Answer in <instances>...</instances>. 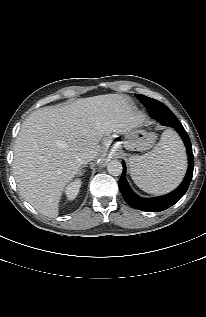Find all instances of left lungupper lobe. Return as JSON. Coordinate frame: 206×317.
Here are the masks:
<instances>
[{"mask_svg": "<svg viewBox=\"0 0 206 317\" xmlns=\"http://www.w3.org/2000/svg\"><path fill=\"white\" fill-rule=\"evenodd\" d=\"M136 97L145 105L146 107V103L151 104V103H161L155 99H152L150 97L144 96V95H140V94H136ZM147 108V107H146Z\"/></svg>", "mask_w": 206, "mask_h": 317, "instance_id": "1", "label": "left lung upper lobe"}]
</instances>
